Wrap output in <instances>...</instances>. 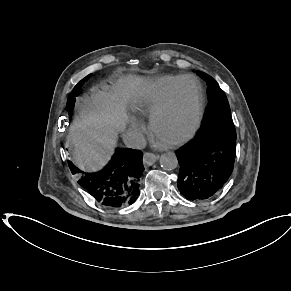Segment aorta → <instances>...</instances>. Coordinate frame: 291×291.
<instances>
[{"instance_id": "obj_1", "label": "aorta", "mask_w": 291, "mask_h": 291, "mask_svg": "<svg viewBox=\"0 0 291 291\" xmlns=\"http://www.w3.org/2000/svg\"><path fill=\"white\" fill-rule=\"evenodd\" d=\"M159 162L161 167L165 170L175 169L178 165V159L176 155L172 152L162 154Z\"/></svg>"}]
</instances>
